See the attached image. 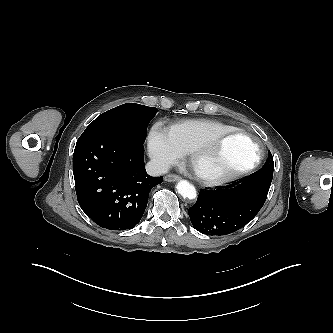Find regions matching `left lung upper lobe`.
Instances as JSON below:
<instances>
[{
  "label": "left lung upper lobe",
  "instance_id": "5c2ea615",
  "mask_svg": "<svg viewBox=\"0 0 333 333\" xmlns=\"http://www.w3.org/2000/svg\"><path fill=\"white\" fill-rule=\"evenodd\" d=\"M263 170H274V161H273V157L271 155V152H268V159L266 161V163L264 164V166L261 168Z\"/></svg>",
  "mask_w": 333,
  "mask_h": 333
}]
</instances>
